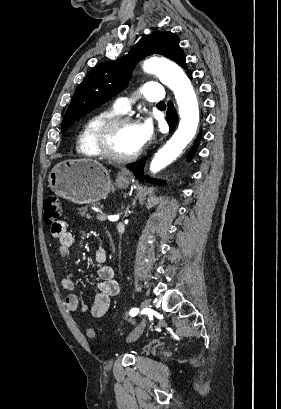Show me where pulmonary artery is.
<instances>
[{"label": "pulmonary artery", "mask_w": 281, "mask_h": 409, "mask_svg": "<svg viewBox=\"0 0 281 409\" xmlns=\"http://www.w3.org/2000/svg\"><path fill=\"white\" fill-rule=\"evenodd\" d=\"M142 88L139 93L141 99H147L152 103H161L163 100L162 94L164 93V88L160 81H144L142 83ZM115 112L123 113L125 112L126 105H130L132 100L126 97H117L115 100Z\"/></svg>", "instance_id": "e3ab8cb5"}]
</instances>
